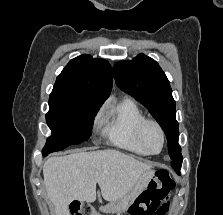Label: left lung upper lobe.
<instances>
[{
	"mask_svg": "<svg viewBox=\"0 0 223 215\" xmlns=\"http://www.w3.org/2000/svg\"><path fill=\"white\" fill-rule=\"evenodd\" d=\"M119 88L147 107L164 130L168 140L171 166L181 167L182 155L178 144L175 101L170 83L158 63L144 54L131 61H120L113 67Z\"/></svg>",
	"mask_w": 223,
	"mask_h": 215,
	"instance_id": "1",
	"label": "left lung upper lobe"
}]
</instances>
